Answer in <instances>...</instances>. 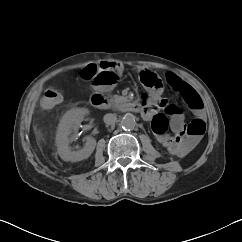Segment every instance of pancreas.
I'll return each instance as SVG.
<instances>
[{"mask_svg":"<svg viewBox=\"0 0 242 242\" xmlns=\"http://www.w3.org/2000/svg\"><path fill=\"white\" fill-rule=\"evenodd\" d=\"M125 101H126V99L119 95H114L111 98V102L114 104V106H118L120 103L125 102Z\"/></svg>","mask_w":242,"mask_h":242,"instance_id":"cf45deb5","label":"pancreas"}]
</instances>
